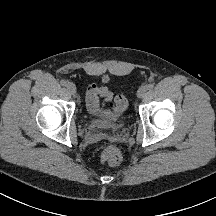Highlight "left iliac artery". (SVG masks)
Instances as JSON below:
<instances>
[{
  "label": "left iliac artery",
  "mask_w": 216,
  "mask_h": 216,
  "mask_svg": "<svg viewBox=\"0 0 216 216\" xmlns=\"http://www.w3.org/2000/svg\"><path fill=\"white\" fill-rule=\"evenodd\" d=\"M153 87H154V84H152V83H150V84L147 85V88H148L149 90L153 89Z\"/></svg>",
  "instance_id": "1"
}]
</instances>
